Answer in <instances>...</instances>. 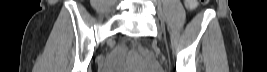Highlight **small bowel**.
I'll list each match as a JSON object with an SVG mask.
<instances>
[{
	"label": "small bowel",
	"mask_w": 267,
	"mask_h": 72,
	"mask_svg": "<svg viewBox=\"0 0 267 72\" xmlns=\"http://www.w3.org/2000/svg\"><path fill=\"white\" fill-rule=\"evenodd\" d=\"M186 6L188 9L193 10L197 7V2L195 0L186 1Z\"/></svg>",
	"instance_id": "1"
}]
</instances>
